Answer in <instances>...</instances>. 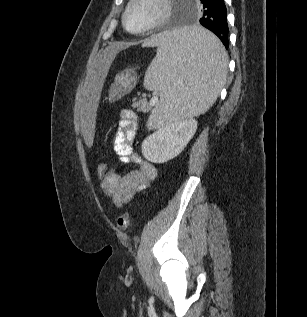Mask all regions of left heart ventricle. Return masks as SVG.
<instances>
[{"label": "left heart ventricle", "instance_id": "left-heart-ventricle-1", "mask_svg": "<svg viewBox=\"0 0 307 317\" xmlns=\"http://www.w3.org/2000/svg\"><path fill=\"white\" fill-rule=\"evenodd\" d=\"M159 11L160 6L155 0H139L127 16V25L131 30L141 29L152 22Z\"/></svg>", "mask_w": 307, "mask_h": 317}]
</instances>
